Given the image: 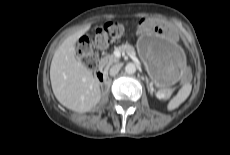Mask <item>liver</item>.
Wrapping results in <instances>:
<instances>
[{
    "label": "liver",
    "instance_id": "1",
    "mask_svg": "<svg viewBox=\"0 0 230 155\" xmlns=\"http://www.w3.org/2000/svg\"><path fill=\"white\" fill-rule=\"evenodd\" d=\"M90 29L82 27L57 48L50 66V80L56 99L66 108L84 113L101 99L100 83L92 72L75 57V46Z\"/></svg>",
    "mask_w": 230,
    "mask_h": 155
}]
</instances>
